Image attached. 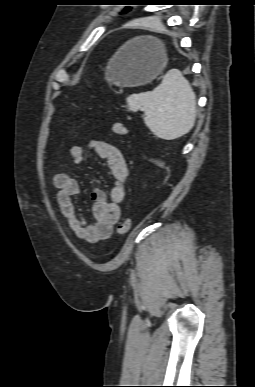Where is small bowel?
Instances as JSON below:
<instances>
[{"mask_svg": "<svg viewBox=\"0 0 255 387\" xmlns=\"http://www.w3.org/2000/svg\"><path fill=\"white\" fill-rule=\"evenodd\" d=\"M86 152H93L104 159L114 180L108 195L100 187L92 190V221H88L75 205L74 198L81 191L77 179L69 173H57L53 176V184L58 207L70 229L78 238L95 243L109 238L120 219V204L125 198L129 171L121 150L106 141L91 139L84 147L75 145L69 149V155L76 164L83 162Z\"/></svg>", "mask_w": 255, "mask_h": 387, "instance_id": "small-bowel-1", "label": "small bowel"}]
</instances>
